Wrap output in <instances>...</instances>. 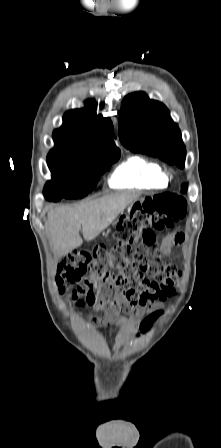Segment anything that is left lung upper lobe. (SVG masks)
Here are the masks:
<instances>
[{"instance_id":"1","label":"left lung upper lobe","mask_w":221,"mask_h":448,"mask_svg":"<svg viewBox=\"0 0 221 448\" xmlns=\"http://www.w3.org/2000/svg\"><path fill=\"white\" fill-rule=\"evenodd\" d=\"M119 138L133 152L155 156L183 168L186 148L169 110L144 92L126 96L119 116Z\"/></svg>"}]
</instances>
